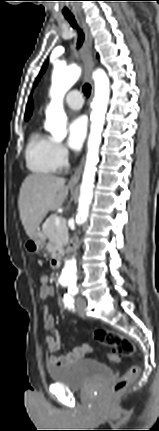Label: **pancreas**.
<instances>
[{
  "instance_id": "cf45deb5",
  "label": "pancreas",
  "mask_w": 159,
  "mask_h": 431,
  "mask_svg": "<svg viewBox=\"0 0 159 431\" xmlns=\"http://www.w3.org/2000/svg\"><path fill=\"white\" fill-rule=\"evenodd\" d=\"M57 215L52 214L43 224V234L49 239V252L54 256L57 251H61L68 241V229L65 222L59 226L55 225Z\"/></svg>"
}]
</instances>
